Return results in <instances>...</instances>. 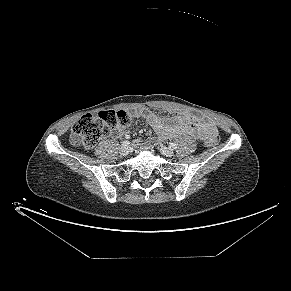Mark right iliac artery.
I'll return each mask as SVG.
<instances>
[{
  "instance_id": "obj_1",
  "label": "right iliac artery",
  "mask_w": 291,
  "mask_h": 291,
  "mask_svg": "<svg viewBox=\"0 0 291 291\" xmlns=\"http://www.w3.org/2000/svg\"><path fill=\"white\" fill-rule=\"evenodd\" d=\"M129 144H130L129 141H123V142L121 143V145H122L123 147H126V146H128Z\"/></svg>"
}]
</instances>
